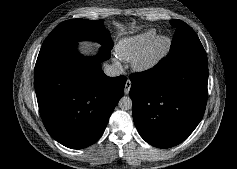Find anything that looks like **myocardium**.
Masks as SVG:
<instances>
[{"mask_svg":"<svg viewBox=\"0 0 237 169\" xmlns=\"http://www.w3.org/2000/svg\"><path fill=\"white\" fill-rule=\"evenodd\" d=\"M164 40L165 46L158 52L155 47L159 41ZM172 40L170 36L163 34L157 36L150 44L132 61V67L137 71H147L156 66L170 52Z\"/></svg>","mask_w":237,"mask_h":169,"instance_id":"myocardium-1","label":"myocardium"}]
</instances>
